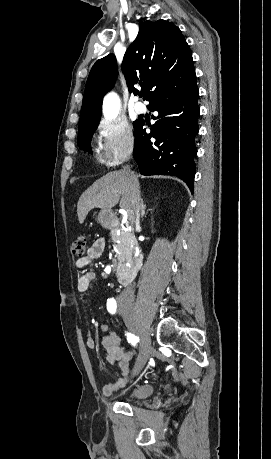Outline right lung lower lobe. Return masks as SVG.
Masks as SVG:
<instances>
[{"label": "right lung lower lobe", "mask_w": 271, "mask_h": 459, "mask_svg": "<svg viewBox=\"0 0 271 459\" xmlns=\"http://www.w3.org/2000/svg\"><path fill=\"white\" fill-rule=\"evenodd\" d=\"M199 90L193 70L184 77L165 83L148 101L158 111L156 123L147 134L143 120L134 127V158L143 175H174L193 191L200 109ZM152 138V139H151Z\"/></svg>", "instance_id": "right-lung-lower-lobe-1"}]
</instances>
